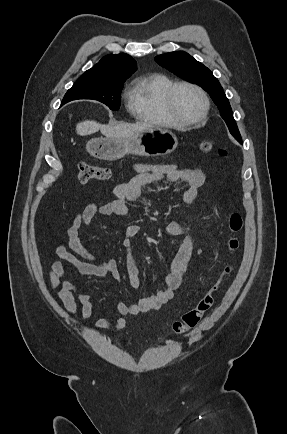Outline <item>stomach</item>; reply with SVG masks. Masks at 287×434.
Listing matches in <instances>:
<instances>
[{"label":"stomach","instance_id":"1","mask_svg":"<svg viewBox=\"0 0 287 434\" xmlns=\"http://www.w3.org/2000/svg\"><path fill=\"white\" fill-rule=\"evenodd\" d=\"M178 145L175 134L167 129L152 126L128 138H97L87 144L95 157L114 161L126 154L160 156L173 152Z\"/></svg>","mask_w":287,"mask_h":434}]
</instances>
